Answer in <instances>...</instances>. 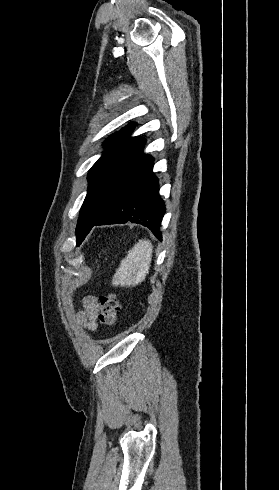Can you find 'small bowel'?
Listing matches in <instances>:
<instances>
[{"instance_id":"1","label":"small bowel","mask_w":279,"mask_h":490,"mask_svg":"<svg viewBox=\"0 0 279 490\" xmlns=\"http://www.w3.org/2000/svg\"><path fill=\"white\" fill-rule=\"evenodd\" d=\"M83 309L77 314L78 323L90 332L97 329V317L99 313L98 300L93 296H87L82 302Z\"/></svg>"}]
</instances>
